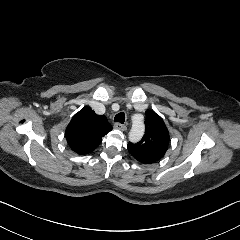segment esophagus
<instances>
[{
  "label": "esophagus",
  "instance_id": "esophagus-1",
  "mask_svg": "<svg viewBox=\"0 0 240 240\" xmlns=\"http://www.w3.org/2000/svg\"><path fill=\"white\" fill-rule=\"evenodd\" d=\"M114 128L118 129L120 131H126L127 130V127L124 124H121V123H115Z\"/></svg>",
  "mask_w": 240,
  "mask_h": 240
}]
</instances>
